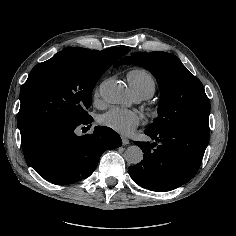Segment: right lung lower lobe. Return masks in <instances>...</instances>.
<instances>
[{
    "label": "right lung lower lobe",
    "instance_id": "1",
    "mask_svg": "<svg viewBox=\"0 0 236 236\" xmlns=\"http://www.w3.org/2000/svg\"><path fill=\"white\" fill-rule=\"evenodd\" d=\"M92 117L80 124L54 123L22 139L29 165L55 184H70L92 174L102 153L122 145L111 128L96 126L93 133L77 135L78 127L90 128Z\"/></svg>",
    "mask_w": 236,
    "mask_h": 236
}]
</instances>
